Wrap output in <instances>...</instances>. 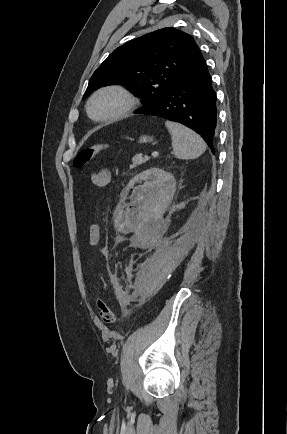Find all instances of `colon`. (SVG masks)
Masks as SVG:
<instances>
[{
	"instance_id": "1",
	"label": "colon",
	"mask_w": 287,
	"mask_h": 434,
	"mask_svg": "<svg viewBox=\"0 0 287 434\" xmlns=\"http://www.w3.org/2000/svg\"><path fill=\"white\" fill-rule=\"evenodd\" d=\"M107 148L105 143H97L85 146L82 148L74 158V166L82 168L87 165L96 155L101 153ZM99 317L105 324H112L115 321V313L105 300L100 299L97 303Z\"/></svg>"
}]
</instances>
